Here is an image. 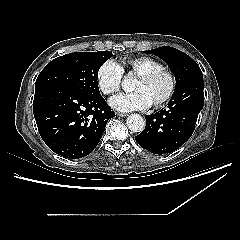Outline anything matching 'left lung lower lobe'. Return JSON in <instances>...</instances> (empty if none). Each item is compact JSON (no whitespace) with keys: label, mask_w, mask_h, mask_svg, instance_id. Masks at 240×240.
<instances>
[{"label":"left lung lower lobe","mask_w":240,"mask_h":240,"mask_svg":"<svg viewBox=\"0 0 240 240\" xmlns=\"http://www.w3.org/2000/svg\"><path fill=\"white\" fill-rule=\"evenodd\" d=\"M203 105V78L176 88L168 109L146 116L144 131L135 137L137 143L159 155L175 151L190 138Z\"/></svg>","instance_id":"1"}]
</instances>
